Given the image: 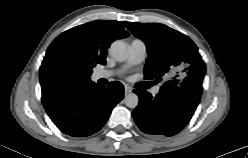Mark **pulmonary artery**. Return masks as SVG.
Segmentation results:
<instances>
[{
	"mask_svg": "<svg viewBox=\"0 0 248 158\" xmlns=\"http://www.w3.org/2000/svg\"><path fill=\"white\" fill-rule=\"evenodd\" d=\"M147 56L146 43L140 39H134L129 43V57L126 63L117 70L100 69L94 72V78L99 79H110L115 74L121 73L131 66L142 63ZM156 93V91H154Z\"/></svg>",
	"mask_w": 248,
	"mask_h": 158,
	"instance_id": "pulmonary-artery-1",
	"label": "pulmonary artery"
}]
</instances>
